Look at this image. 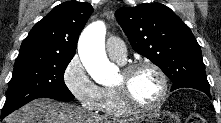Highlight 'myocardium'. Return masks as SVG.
<instances>
[{
  "label": "myocardium",
  "mask_w": 221,
  "mask_h": 123,
  "mask_svg": "<svg viewBox=\"0 0 221 123\" xmlns=\"http://www.w3.org/2000/svg\"><path fill=\"white\" fill-rule=\"evenodd\" d=\"M142 68H150L159 76L161 81V93L156 102L150 105H143L138 103L131 95L127 82H123L122 84L115 85L114 89L117 92L119 98L122 103L131 111H139V112H148L161 107L167 99L169 92V81L166 73L155 63L151 61H140L133 64H130L123 68L122 74L127 79L136 71Z\"/></svg>",
  "instance_id": "myocardium-1"
}]
</instances>
